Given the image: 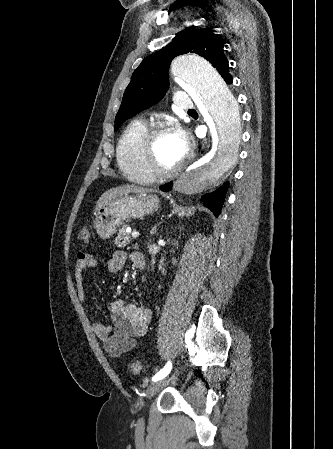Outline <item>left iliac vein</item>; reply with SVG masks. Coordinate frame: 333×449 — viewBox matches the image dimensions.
Wrapping results in <instances>:
<instances>
[{"mask_svg":"<svg viewBox=\"0 0 333 449\" xmlns=\"http://www.w3.org/2000/svg\"><path fill=\"white\" fill-rule=\"evenodd\" d=\"M167 382V379H160L153 381L147 388L146 394L149 399H151Z\"/></svg>","mask_w":333,"mask_h":449,"instance_id":"4c4485c4","label":"left iliac vein"}]
</instances>
